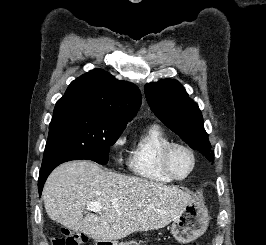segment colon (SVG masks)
Wrapping results in <instances>:
<instances>
[{
  "label": "colon",
  "instance_id": "colon-1",
  "mask_svg": "<svg viewBox=\"0 0 266 245\" xmlns=\"http://www.w3.org/2000/svg\"><path fill=\"white\" fill-rule=\"evenodd\" d=\"M86 242L84 236L80 233L63 230V236L52 240V245H84Z\"/></svg>",
  "mask_w": 266,
  "mask_h": 245
}]
</instances>
